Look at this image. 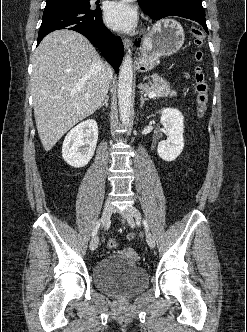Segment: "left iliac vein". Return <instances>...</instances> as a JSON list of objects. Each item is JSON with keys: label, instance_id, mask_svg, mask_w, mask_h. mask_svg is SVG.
<instances>
[{"label": "left iliac vein", "instance_id": "4c4485c4", "mask_svg": "<svg viewBox=\"0 0 247 332\" xmlns=\"http://www.w3.org/2000/svg\"><path fill=\"white\" fill-rule=\"evenodd\" d=\"M122 215L128 220L131 221L133 218L137 219V220H141V213L139 212V210L134 207V206H128L124 211L121 212ZM146 241L147 244L151 247L154 248L155 247V239L153 237V235L146 230Z\"/></svg>", "mask_w": 247, "mask_h": 332}]
</instances>
